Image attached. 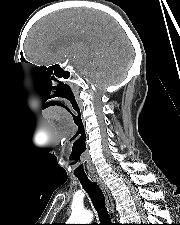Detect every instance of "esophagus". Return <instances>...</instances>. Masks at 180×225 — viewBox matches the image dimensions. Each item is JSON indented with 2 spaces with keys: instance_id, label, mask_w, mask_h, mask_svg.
Instances as JSON below:
<instances>
[{
  "instance_id": "34e87169",
  "label": "esophagus",
  "mask_w": 180,
  "mask_h": 225,
  "mask_svg": "<svg viewBox=\"0 0 180 225\" xmlns=\"http://www.w3.org/2000/svg\"><path fill=\"white\" fill-rule=\"evenodd\" d=\"M92 179L102 189V191L104 193V196H105L106 205H107V208H108L110 214H114V208L115 207H114L113 199H112L110 191H109L108 187L106 186V184L104 183L103 179L100 176H98V175H93Z\"/></svg>"
}]
</instances>
